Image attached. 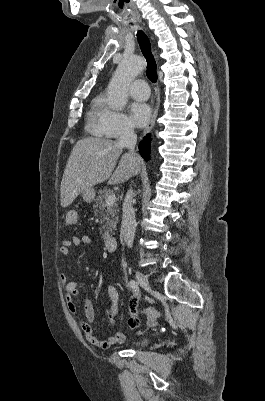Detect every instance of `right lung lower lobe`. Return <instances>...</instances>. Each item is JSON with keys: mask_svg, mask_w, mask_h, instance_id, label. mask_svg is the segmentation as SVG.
I'll return each mask as SVG.
<instances>
[{"mask_svg": "<svg viewBox=\"0 0 265 401\" xmlns=\"http://www.w3.org/2000/svg\"><path fill=\"white\" fill-rule=\"evenodd\" d=\"M149 148H150V137L149 135H147L139 145L140 149L139 152L145 158V160H148L149 158Z\"/></svg>", "mask_w": 265, "mask_h": 401, "instance_id": "1", "label": "right lung lower lobe"}]
</instances>
